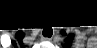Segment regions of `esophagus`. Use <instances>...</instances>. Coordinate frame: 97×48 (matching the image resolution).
<instances>
[{
  "label": "esophagus",
  "mask_w": 97,
  "mask_h": 48,
  "mask_svg": "<svg viewBox=\"0 0 97 48\" xmlns=\"http://www.w3.org/2000/svg\"><path fill=\"white\" fill-rule=\"evenodd\" d=\"M44 40H51V38H44Z\"/></svg>",
  "instance_id": "esophagus-1"
}]
</instances>
